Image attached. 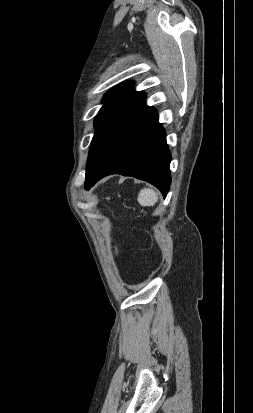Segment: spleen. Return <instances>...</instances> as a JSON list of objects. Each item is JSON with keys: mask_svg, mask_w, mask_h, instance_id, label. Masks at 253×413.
<instances>
[{"mask_svg": "<svg viewBox=\"0 0 253 413\" xmlns=\"http://www.w3.org/2000/svg\"><path fill=\"white\" fill-rule=\"evenodd\" d=\"M142 206H154L158 201V193L152 188L142 189L137 198Z\"/></svg>", "mask_w": 253, "mask_h": 413, "instance_id": "obj_1", "label": "spleen"}]
</instances>
